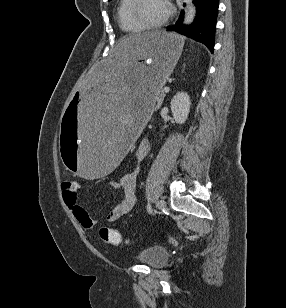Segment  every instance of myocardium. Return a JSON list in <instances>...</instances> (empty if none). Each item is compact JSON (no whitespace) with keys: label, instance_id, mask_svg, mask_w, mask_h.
Returning <instances> with one entry per match:
<instances>
[{"label":"myocardium","instance_id":"obj_1","mask_svg":"<svg viewBox=\"0 0 286 308\" xmlns=\"http://www.w3.org/2000/svg\"><path fill=\"white\" fill-rule=\"evenodd\" d=\"M143 0H133L132 5L130 7V16L131 18L143 29L147 30H154L162 28L164 25L168 23L170 18L172 17L173 11L171 8V5L168 0H165L166 6H167V14L165 18L157 23H148L142 19L140 16V5L142 4Z\"/></svg>","mask_w":286,"mask_h":308}]
</instances>
